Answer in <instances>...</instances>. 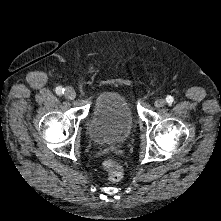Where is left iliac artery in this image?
Here are the masks:
<instances>
[{
    "label": "left iliac artery",
    "instance_id": "1",
    "mask_svg": "<svg viewBox=\"0 0 221 221\" xmlns=\"http://www.w3.org/2000/svg\"><path fill=\"white\" fill-rule=\"evenodd\" d=\"M166 101L167 103L171 104L174 101V99L172 96H167Z\"/></svg>",
    "mask_w": 221,
    "mask_h": 221
}]
</instances>
